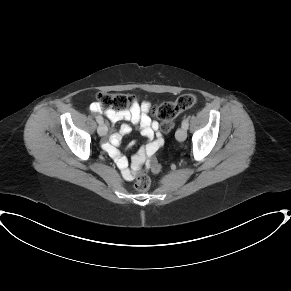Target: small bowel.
<instances>
[{
    "instance_id": "1",
    "label": "small bowel",
    "mask_w": 291,
    "mask_h": 291,
    "mask_svg": "<svg viewBox=\"0 0 291 291\" xmlns=\"http://www.w3.org/2000/svg\"><path fill=\"white\" fill-rule=\"evenodd\" d=\"M150 109V103L145 100L134 101L130 108L121 110H102L96 102L92 103L90 106L92 112H104L111 122L129 121L132 124L137 125L141 134L148 140L147 146L142 148L138 155L133 158L131 166H129L127 159L121 156L116 148L122 136L131 131L129 124H122L120 129L113 132L109 140L104 143L105 150L115 159L121 171V175L126 181L134 180L138 175V168L144 162L145 158L150 157L163 146L164 141L159 131V124L151 119L149 115ZM155 146L157 148L154 152ZM135 160H137V163Z\"/></svg>"
}]
</instances>
